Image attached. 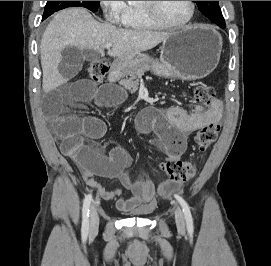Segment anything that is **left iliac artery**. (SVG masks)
Here are the masks:
<instances>
[{
  "label": "left iliac artery",
  "instance_id": "1",
  "mask_svg": "<svg viewBox=\"0 0 271 266\" xmlns=\"http://www.w3.org/2000/svg\"><path fill=\"white\" fill-rule=\"evenodd\" d=\"M175 198L178 200V202L180 203V205L183 209L188 232L193 233V228H194L193 227V219H192L190 208H189L187 202L177 194H175Z\"/></svg>",
  "mask_w": 271,
  "mask_h": 266
}]
</instances>
